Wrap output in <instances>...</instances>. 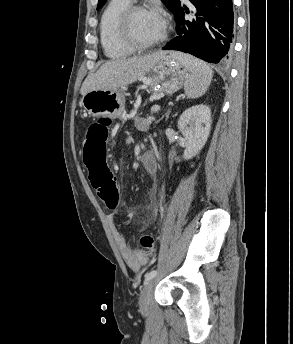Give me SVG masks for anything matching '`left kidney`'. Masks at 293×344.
<instances>
[{"instance_id":"1","label":"left kidney","mask_w":293,"mask_h":344,"mask_svg":"<svg viewBox=\"0 0 293 344\" xmlns=\"http://www.w3.org/2000/svg\"><path fill=\"white\" fill-rule=\"evenodd\" d=\"M178 129L186 140L183 158L195 157L205 145L211 129V110L199 104L186 109L178 120ZM177 161L180 159L177 157Z\"/></svg>"}]
</instances>
